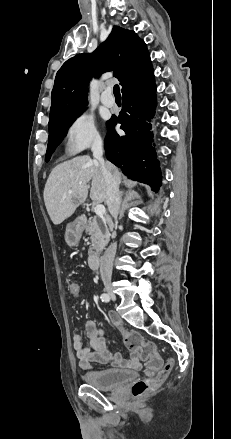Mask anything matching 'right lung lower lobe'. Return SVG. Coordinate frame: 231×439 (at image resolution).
<instances>
[{
	"label": "right lung lower lobe",
	"mask_w": 231,
	"mask_h": 439,
	"mask_svg": "<svg viewBox=\"0 0 231 439\" xmlns=\"http://www.w3.org/2000/svg\"><path fill=\"white\" fill-rule=\"evenodd\" d=\"M123 108L108 121L110 132L105 139L106 157L132 180L143 182L154 191L161 186V171L155 148L152 146L151 124L155 114L156 85L153 73L122 96ZM121 124L125 135L115 132Z\"/></svg>",
	"instance_id": "98d812e1"
}]
</instances>
